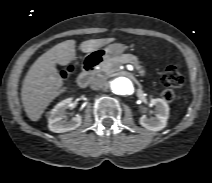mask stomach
<instances>
[{
  "instance_id": "1",
  "label": "stomach",
  "mask_w": 212,
  "mask_h": 183,
  "mask_svg": "<svg viewBox=\"0 0 212 183\" xmlns=\"http://www.w3.org/2000/svg\"><path fill=\"white\" fill-rule=\"evenodd\" d=\"M127 46L121 43H111L105 49H103V57L110 58L114 56H119L124 53Z\"/></svg>"
}]
</instances>
